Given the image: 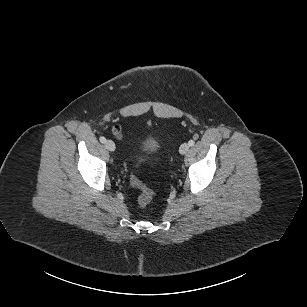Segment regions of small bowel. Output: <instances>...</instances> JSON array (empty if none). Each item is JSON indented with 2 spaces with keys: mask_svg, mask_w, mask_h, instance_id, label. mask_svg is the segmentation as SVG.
<instances>
[{
  "mask_svg": "<svg viewBox=\"0 0 307 307\" xmlns=\"http://www.w3.org/2000/svg\"><path fill=\"white\" fill-rule=\"evenodd\" d=\"M113 133L119 139L122 137V132H121V129L119 127L114 128Z\"/></svg>",
  "mask_w": 307,
  "mask_h": 307,
  "instance_id": "1",
  "label": "small bowel"
}]
</instances>
